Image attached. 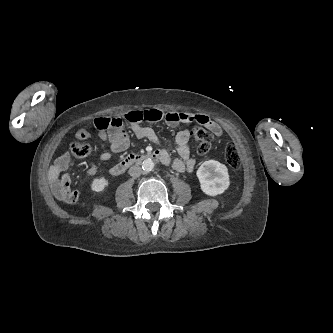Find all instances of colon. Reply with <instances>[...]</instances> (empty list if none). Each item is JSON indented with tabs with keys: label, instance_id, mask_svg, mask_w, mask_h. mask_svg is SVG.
I'll use <instances>...</instances> for the list:
<instances>
[{
	"label": "colon",
	"instance_id": "1",
	"mask_svg": "<svg viewBox=\"0 0 333 333\" xmlns=\"http://www.w3.org/2000/svg\"><path fill=\"white\" fill-rule=\"evenodd\" d=\"M160 117H157L159 120ZM94 126L98 130H120L123 129V120L120 117H98L94 120ZM192 136L199 142L197 152L199 155H205L211 148V133L202 127L193 129ZM71 152L74 156L82 158L88 156L92 151V146L87 143L75 142L71 144ZM224 158L226 163L234 170L241 166L240 155L236 145L229 142L224 150Z\"/></svg>",
	"mask_w": 333,
	"mask_h": 333
}]
</instances>
